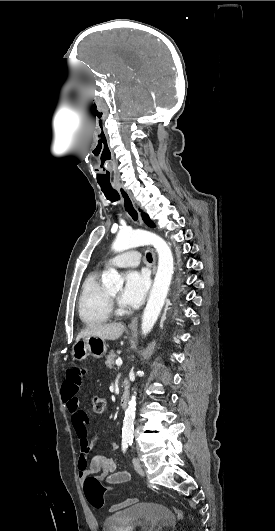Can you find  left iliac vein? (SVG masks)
<instances>
[{"mask_svg": "<svg viewBox=\"0 0 275 531\" xmlns=\"http://www.w3.org/2000/svg\"><path fill=\"white\" fill-rule=\"evenodd\" d=\"M132 461H133V465H134V468L137 471V473L139 475H141V476H144L145 474H144V471H143L142 464H141L140 460L137 459V458H133Z\"/></svg>", "mask_w": 275, "mask_h": 531, "instance_id": "1", "label": "left iliac vein"}]
</instances>
